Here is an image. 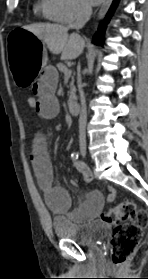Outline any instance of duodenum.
Wrapping results in <instances>:
<instances>
[{
    "instance_id": "410a0bca",
    "label": "duodenum",
    "mask_w": 148,
    "mask_h": 279,
    "mask_svg": "<svg viewBox=\"0 0 148 279\" xmlns=\"http://www.w3.org/2000/svg\"><path fill=\"white\" fill-rule=\"evenodd\" d=\"M68 108L72 115L76 116L80 113V103L76 99H71L68 102Z\"/></svg>"
}]
</instances>
